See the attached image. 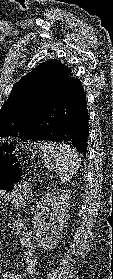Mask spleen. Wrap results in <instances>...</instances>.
<instances>
[{"label":"spleen","mask_w":113,"mask_h":279,"mask_svg":"<svg viewBox=\"0 0 113 279\" xmlns=\"http://www.w3.org/2000/svg\"><path fill=\"white\" fill-rule=\"evenodd\" d=\"M45 167L54 170L63 183L69 182L78 172L81 163L80 153L64 144L36 142Z\"/></svg>","instance_id":"3e777b00"}]
</instances>
